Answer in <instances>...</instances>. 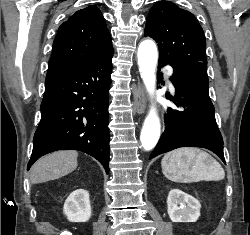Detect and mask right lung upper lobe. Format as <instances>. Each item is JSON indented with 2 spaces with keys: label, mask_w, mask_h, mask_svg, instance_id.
<instances>
[{
  "label": "right lung upper lobe",
  "mask_w": 250,
  "mask_h": 235,
  "mask_svg": "<svg viewBox=\"0 0 250 235\" xmlns=\"http://www.w3.org/2000/svg\"><path fill=\"white\" fill-rule=\"evenodd\" d=\"M111 49L100 10L96 6L78 10L58 29L47 74L80 68Z\"/></svg>",
  "instance_id": "obj_1"
}]
</instances>
